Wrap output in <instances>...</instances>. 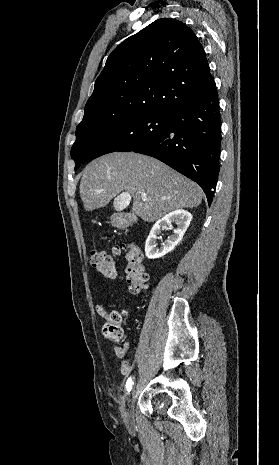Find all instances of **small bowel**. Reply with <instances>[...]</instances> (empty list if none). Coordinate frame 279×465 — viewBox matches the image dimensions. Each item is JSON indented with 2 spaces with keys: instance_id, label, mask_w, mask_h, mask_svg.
Masks as SVG:
<instances>
[{
  "instance_id": "small-bowel-1",
  "label": "small bowel",
  "mask_w": 279,
  "mask_h": 465,
  "mask_svg": "<svg viewBox=\"0 0 279 465\" xmlns=\"http://www.w3.org/2000/svg\"><path fill=\"white\" fill-rule=\"evenodd\" d=\"M113 349L118 358H124L129 349V343L124 342L122 346H113ZM133 365L134 364L132 361L128 359H124L121 363V368H120L121 373L123 375L129 374L133 369Z\"/></svg>"
}]
</instances>
